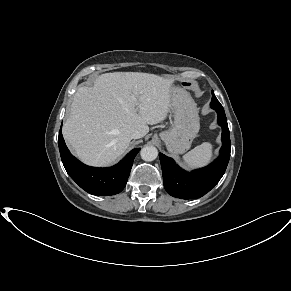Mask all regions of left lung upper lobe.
<instances>
[{"mask_svg":"<svg viewBox=\"0 0 291 291\" xmlns=\"http://www.w3.org/2000/svg\"><path fill=\"white\" fill-rule=\"evenodd\" d=\"M211 93H212V101H218L216 96H215V94H214V92L212 91Z\"/></svg>","mask_w":291,"mask_h":291,"instance_id":"5c2ea615","label":"left lung upper lobe"}]
</instances>
